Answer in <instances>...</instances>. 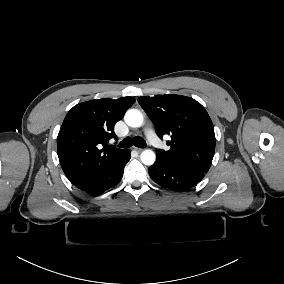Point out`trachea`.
I'll list each match as a JSON object with an SVG mask.
<instances>
[{
    "label": "trachea",
    "instance_id": "obj_1",
    "mask_svg": "<svg viewBox=\"0 0 284 284\" xmlns=\"http://www.w3.org/2000/svg\"><path fill=\"white\" fill-rule=\"evenodd\" d=\"M132 145L139 147V148H145L146 142L142 137H139V136H136L134 139L130 137H126L119 143L118 146L122 148H128V147H131Z\"/></svg>",
    "mask_w": 284,
    "mask_h": 284
}]
</instances>
